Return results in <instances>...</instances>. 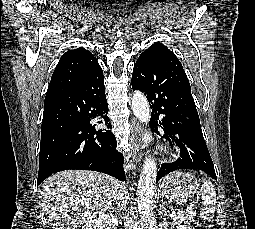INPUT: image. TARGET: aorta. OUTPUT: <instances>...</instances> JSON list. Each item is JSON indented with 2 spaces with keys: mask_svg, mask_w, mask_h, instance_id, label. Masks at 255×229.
<instances>
[{
  "mask_svg": "<svg viewBox=\"0 0 255 229\" xmlns=\"http://www.w3.org/2000/svg\"><path fill=\"white\" fill-rule=\"evenodd\" d=\"M132 110L136 118L142 123L150 120L149 103L141 91H135L132 96ZM157 176L155 160L149 156L145 159L141 170L137 190V205L140 217L147 229H156V220L153 214L154 186Z\"/></svg>",
  "mask_w": 255,
  "mask_h": 229,
  "instance_id": "aorta-1",
  "label": "aorta"
}]
</instances>
